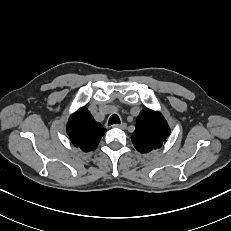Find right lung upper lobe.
I'll return each instance as SVG.
<instances>
[{
    "label": "right lung upper lobe",
    "mask_w": 231,
    "mask_h": 231,
    "mask_svg": "<svg viewBox=\"0 0 231 231\" xmlns=\"http://www.w3.org/2000/svg\"><path fill=\"white\" fill-rule=\"evenodd\" d=\"M105 132L106 129L94 120L85 107L72 114L67 124L71 142L85 152L94 150Z\"/></svg>",
    "instance_id": "right-lung-upper-lobe-1"
}]
</instances>
